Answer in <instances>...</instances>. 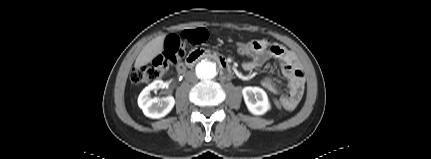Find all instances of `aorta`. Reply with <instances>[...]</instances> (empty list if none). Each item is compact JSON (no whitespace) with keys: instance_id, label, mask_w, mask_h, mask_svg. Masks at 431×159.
Wrapping results in <instances>:
<instances>
[{"instance_id":"obj_1","label":"aorta","mask_w":431,"mask_h":159,"mask_svg":"<svg viewBox=\"0 0 431 159\" xmlns=\"http://www.w3.org/2000/svg\"><path fill=\"white\" fill-rule=\"evenodd\" d=\"M198 78L203 81H209L216 77V64L212 61L203 60L195 68Z\"/></svg>"}]
</instances>
